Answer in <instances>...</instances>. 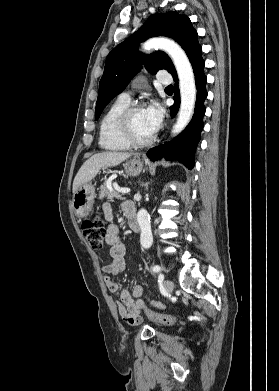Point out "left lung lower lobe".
<instances>
[{"label": "left lung lower lobe", "mask_w": 279, "mask_h": 391, "mask_svg": "<svg viewBox=\"0 0 279 391\" xmlns=\"http://www.w3.org/2000/svg\"><path fill=\"white\" fill-rule=\"evenodd\" d=\"M202 48H198L191 59V65L193 68L197 98L195 103L194 115L185 128V130L175 137L172 141L165 143L159 147L150 149L147 156L152 161L165 158L167 160H177L184 164L188 169H192L194 166V152L196 151L197 144L201 138V131L203 129V116L205 114L204 100L207 97V91L205 84L207 78L203 72L205 62L202 58ZM175 84V95L173 97L174 104L170 107L171 116H175L180 106V94L178 89V77L173 76Z\"/></svg>", "instance_id": "obj_1"}]
</instances>
